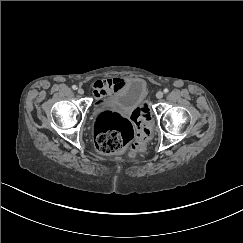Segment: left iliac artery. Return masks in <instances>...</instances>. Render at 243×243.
Listing matches in <instances>:
<instances>
[{
  "label": "left iliac artery",
  "mask_w": 243,
  "mask_h": 243,
  "mask_svg": "<svg viewBox=\"0 0 243 243\" xmlns=\"http://www.w3.org/2000/svg\"><path fill=\"white\" fill-rule=\"evenodd\" d=\"M163 91H164V93H168L169 92V90L167 88H165Z\"/></svg>",
  "instance_id": "1"
}]
</instances>
